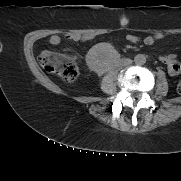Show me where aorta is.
<instances>
[{"mask_svg": "<svg viewBox=\"0 0 181 181\" xmlns=\"http://www.w3.org/2000/svg\"><path fill=\"white\" fill-rule=\"evenodd\" d=\"M134 62L137 65H144L146 63V56L144 54H137L134 57Z\"/></svg>", "mask_w": 181, "mask_h": 181, "instance_id": "762f6f07", "label": "aorta"}]
</instances>
